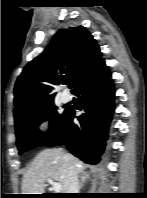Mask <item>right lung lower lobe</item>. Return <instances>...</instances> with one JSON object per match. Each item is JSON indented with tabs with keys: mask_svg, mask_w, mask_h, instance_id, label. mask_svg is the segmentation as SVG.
Segmentation results:
<instances>
[{
	"mask_svg": "<svg viewBox=\"0 0 147 198\" xmlns=\"http://www.w3.org/2000/svg\"><path fill=\"white\" fill-rule=\"evenodd\" d=\"M80 99L79 124L73 123L75 110L69 108L59 132L45 142L46 146L66 145L67 149L88 164H97L108 139L114 112V85L108 67L103 63L73 91Z\"/></svg>",
	"mask_w": 147,
	"mask_h": 198,
	"instance_id": "98d812e1",
	"label": "right lung lower lobe"
}]
</instances>
